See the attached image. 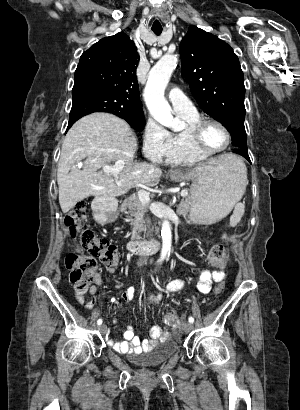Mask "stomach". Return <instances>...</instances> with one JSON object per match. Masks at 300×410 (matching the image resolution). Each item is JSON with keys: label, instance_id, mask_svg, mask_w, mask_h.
Returning <instances> with one entry per match:
<instances>
[{"label": "stomach", "instance_id": "0dacf381", "mask_svg": "<svg viewBox=\"0 0 300 410\" xmlns=\"http://www.w3.org/2000/svg\"><path fill=\"white\" fill-rule=\"evenodd\" d=\"M200 167L174 176L175 180H190L191 220L214 224L225 218L244 193L243 173L235 162Z\"/></svg>", "mask_w": 300, "mask_h": 410}]
</instances>
